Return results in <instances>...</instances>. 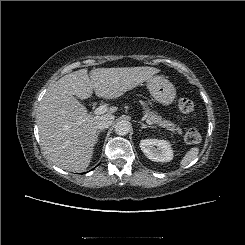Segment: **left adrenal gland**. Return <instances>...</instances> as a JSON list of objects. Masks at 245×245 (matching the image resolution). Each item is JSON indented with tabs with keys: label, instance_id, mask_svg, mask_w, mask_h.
Here are the masks:
<instances>
[{
	"label": "left adrenal gland",
	"instance_id": "a2214340",
	"mask_svg": "<svg viewBox=\"0 0 245 245\" xmlns=\"http://www.w3.org/2000/svg\"><path fill=\"white\" fill-rule=\"evenodd\" d=\"M140 125H141V129H145V128H153V126H148V125H145L143 122L139 121L138 122Z\"/></svg>",
	"mask_w": 245,
	"mask_h": 245
}]
</instances>
